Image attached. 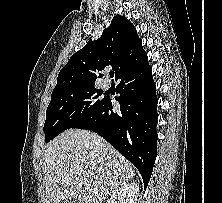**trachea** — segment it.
I'll list each match as a JSON object with an SVG mask.
<instances>
[{
	"mask_svg": "<svg viewBox=\"0 0 222 203\" xmlns=\"http://www.w3.org/2000/svg\"><path fill=\"white\" fill-rule=\"evenodd\" d=\"M109 75H110L111 78H113V77H114V72L111 71V72L109 73Z\"/></svg>",
	"mask_w": 222,
	"mask_h": 203,
	"instance_id": "1",
	"label": "trachea"
}]
</instances>
